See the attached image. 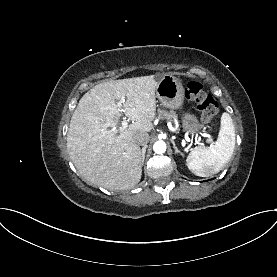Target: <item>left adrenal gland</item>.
Masks as SVG:
<instances>
[{
    "label": "left adrenal gland",
    "instance_id": "obj_1",
    "mask_svg": "<svg viewBox=\"0 0 277 277\" xmlns=\"http://www.w3.org/2000/svg\"><path fill=\"white\" fill-rule=\"evenodd\" d=\"M171 142L173 144V148H174L175 153L183 156V153L180 150H178V148L176 147L174 140H171Z\"/></svg>",
    "mask_w": 277,
    "mask_h": 277
}]
</instances>
